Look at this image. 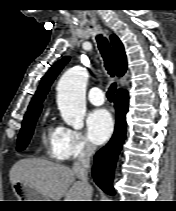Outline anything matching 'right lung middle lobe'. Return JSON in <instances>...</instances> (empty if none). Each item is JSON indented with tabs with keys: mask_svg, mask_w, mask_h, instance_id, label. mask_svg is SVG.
Wrapping results in <instances>:
<instances>
[{
	"mask_svg": "<svg viewBox=\"0 0 176 211\" xmlns=\"http://www.w3.org/2000/svg\"><path fill=\"white\" fill-rule=\"evenodd\" d=\"M38 116L39 113H34L24 117L22 128L17 139V150H24L28 145Z\"/></svg>",
	"mask_w": 176,
	"mask_h": 211,
	"instance_id": "obj_1",
	"label": "right lung middle lobe"
}]
</instances>
